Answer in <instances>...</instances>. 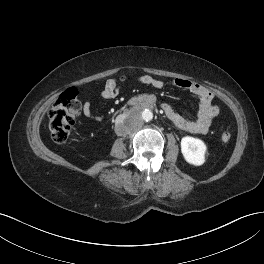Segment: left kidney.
I'll list each match as a JSON object with an SVG mask.
<instances>
[{
    "instance_id": "left-kidney-1",
    "label": "left kidney",
    "mask_w": 264,
    "mask_h": 264,
    "mask_svg": "<svg viewBox=\"0 0 264 264\" xmlns=\"http://www.w3.org/2000/svg\"><path fill=\"white\" fill-rule=\"evenodd\" d=\"M206 151L205 143L198 138L186 136L181 139V152L189 164L195 166L204 164Z\"/></svg>"
}]
</instances>
